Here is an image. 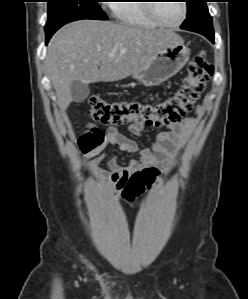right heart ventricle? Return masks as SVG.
Segmentation results:
<instances>
[{
	"instance_id": "e07e8e85",
	"label": "right heart ventricle",
	"mask_w": 248,
	"mask_h": 299,
	"mask_svg": "<svg viewBox=\"0 0 248 299\" xmlns=\"http://www.w3.org/2000/svg\"><path fill=\"white\" fill-rule=\"evenodd\" d=\"M112 5L115 17L125 25L144 28H156L157 24L147 11V0L117 1Z\"/></svg>"
}]
</instances>
